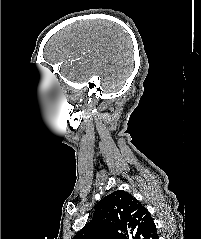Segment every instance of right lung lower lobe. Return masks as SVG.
<instances>
[{
	"label": "right lung lower lobe",
	"instance_id": "1",
	"mask_svg": "<svg viewBox=\"0 0 201 239\" xmlns=\"http://www.w3.org/2000/svg\"><path fill=\"white\" fill-rule=\"evenodd\" d=\"M155 239H158V235L155 237Z\"/></svg>",
	"mask_w": 201,
	"mask_h": 239
}]
</instances>
